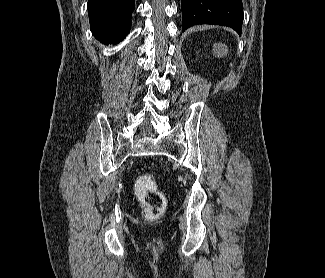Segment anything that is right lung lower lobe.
Wrapping results in <instances>:
<instances>
[{"label":"right lung lower lobe","instance_id":"1","mask_svg":"<svg viewBox=\"0 0 325 278\" xmlns=\"http://www.w3.org/2000/svg\"><path fill=\"white\" fill-rule=\"evenodd\" d=\"M87 8L91 31L101 42L117 43L129 33L134 0H89Z\"/></svg>","mask_w":325,"mask_h":278}]
</instances>
